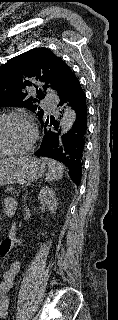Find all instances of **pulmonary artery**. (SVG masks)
<instances>
[{"label": "pulmonary artery", "mask_w": 118, "mask_h": 320, "mask_svg": "<svg viewBox=\"0 0 118 320\" xmlns=\"http://www.w3.org/2000/svg\"><path fill=\"white\" fill-rule=\"evenodd\" d=\"M55 96L47 93L46 97H45V105L50 109V110H54L55 109Z\"/></svg>", "instance_id": "pulmonary-artery-1"}]
</instances>
